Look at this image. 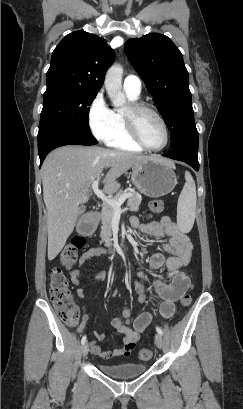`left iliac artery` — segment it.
<instances>
[{"mask_svg": "<svg viewBox=\"0 0 243 409\" xmlns=\"http://www.w3.org/2000/svg\"><path fill=\"white\" fill-rule=\"evenodd\" d=\"M156 331L158 332V334L163 335V331L160 327L156 326Z\"/></svg>", "mask_w": 243, "mask_h": 409, "instance_id": "obj_1", "label": "left iliac artery"}]
</instances>
